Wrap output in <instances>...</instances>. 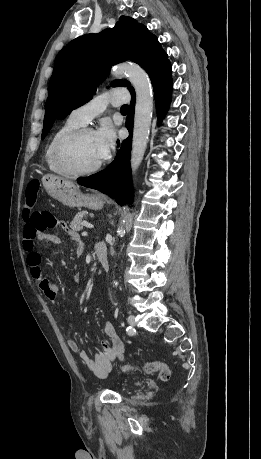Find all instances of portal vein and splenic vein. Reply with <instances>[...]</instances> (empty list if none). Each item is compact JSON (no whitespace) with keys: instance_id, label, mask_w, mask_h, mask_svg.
Returning <instances> with one entry per match:
<instances>
[{"instance_id":"1","label":"portal vein and splenic vein","mask_w":261,"mask_h":459,"mask_svg":"<svg viewBox=\"0 0 261 459\" xmlns=\"http://www.w3.org/2000/svg\"><path fill=\"white\" fill-rule=\"evenodd\" d=\"M83 225L87 228H93V225L87 222H84Z\"/></svg>"}]
</instances>
